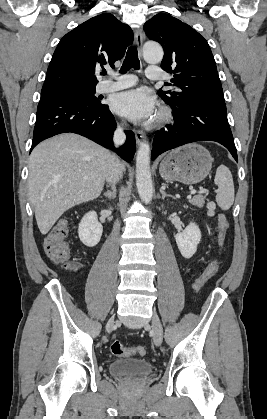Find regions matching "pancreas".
<instances>
[{
  "instance_id": "1",
  "label": "pancreas",
  "mask_w": 267,
  "mask_h": 419,
  "mask_svg": "<svg viewBox=\"0 0 267 419\" xmlns=\"http://www.w3.org/2000/svg\"><path fill=\"white\" fill-rule=\"evenodd\" d=\"M189 202L194 206L202 208L205 203V198L203 195H197V196H194L192 199H190Z\"/></svg>"
}]
</instances>
